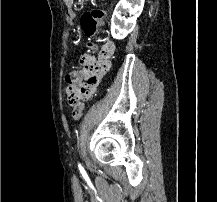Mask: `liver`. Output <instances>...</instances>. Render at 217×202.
Wrapping results in <instances>:
<instances>
[{
    "label": "liver",
    "instance_id": "1",
    "mask_svg": "<svg viewBox=\"0 0 217 202\" xmlns=\"http://www.w3.org/2000/svg\"><path fill=\"white\" fill-rule=\"evenodd\" d=\"M63 2H65L67 8H69V10H70V8L73 4V0H63Z\"/></svg>",
    "mask_w": 217,
    "mask_h": 202
}]
</instances>
